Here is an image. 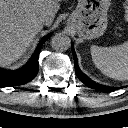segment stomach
<instances>
[{
  "label": "stomach",
  "mask_w": 128,
  "mask_h": 128,
  "mask_svg": "<svg viewBox=\"0 0 128 128\" xmlns=\"http://www.w3.org/2000/svg\"><path fill=\"white\" fill-rule=\"evenodd\" d=\"M111 0H78L76 9L67 20L82 39H95L107 28V12Z\"/></svg>",
  "instance_id": "stomach-1"
}]
</instances>
